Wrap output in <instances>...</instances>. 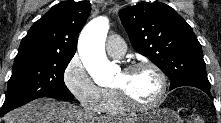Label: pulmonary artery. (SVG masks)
Wrapping results in <instances>:
<instances>
[{
    "label": "pulmonary artery",
    "instance_id": "obj_1",
    "mask_svg": "<svg viewBox=\"0 0 221 123\" xmlns=\"http://www.w3.org/2000/svg\"><path fill=\"white\" fill-rule=\"evenodd\" d=\"M106 51L113 58L123 57L126 51L123 39L118 35L109 36L106 41Z\"/></svg>",
    "mask_w": 221,
    "mask_h": 123
}]
</instances>
